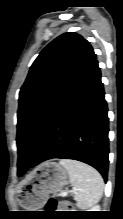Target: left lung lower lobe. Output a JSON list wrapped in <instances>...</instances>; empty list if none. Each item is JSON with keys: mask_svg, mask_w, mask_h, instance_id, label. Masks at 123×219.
Returning <instances> with one entry per match:
<instances>
[{"mask_svg": "<svg viewBox=\"0 0 123 219\" xmlns=\"http://www.w3.org/2000/svg\"><path fill=\"white\" fill-rule=\"evenodd\" d=\"M107 112L96 60L58 108L28 168L52 158L73 159L96 168L106 180L109 163Z\"/></svg>", "mask_w": 123, "mask_h": 219, "instance_id": "obj_1", "label": "left lung lower lobe"}]
</instances>
